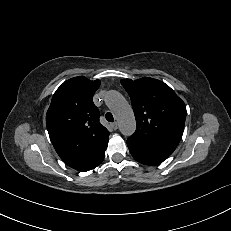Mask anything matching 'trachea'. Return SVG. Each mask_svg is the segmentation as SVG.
I'll return each instance as SVG.
<instances>
[{
  "instance_id": "1",
  "label": "trachea",
  "mask_w": 231,
  "mask_h": 231,
  "mask_svg": "<svg viewBox=\"0 0 231 231\" xmlns=\"http://www.w3.org/2000/svg\"><path fill=\"white\" fill-rule=\"evenodd\" d=\"M105 118L109 122H113L114 121V117H113V115L110 112L106 113Z\"/></svg>"
}]
</instances>
